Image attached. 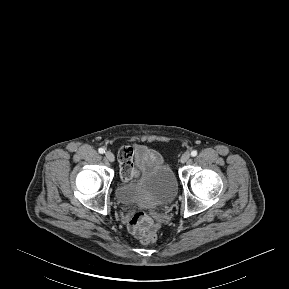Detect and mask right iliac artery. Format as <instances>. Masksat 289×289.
<instances>
[{
	"label": "right iliac artery",
	"instance_id": "obj_1",
	"mask_svg": "<svg viewBox=\"0 0 289 289\" xmlns=\"http://www.w3.org/2000/svg\"><path fill=\"white\" fill-rule=\"evenodd\" d=\"M98 152H99L100 154H103V153H105V149H104V148H99V149H98Z\"/></svg>",
	"mask_w": 289,
	"mask_h": 289
}]
</instances>
